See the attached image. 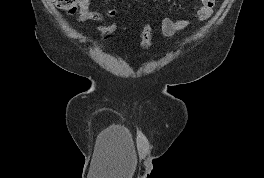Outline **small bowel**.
<instances>
[{
    "mask_svg": "<svg viewBox=\"0 0 264 178\" xmlns=\"http://www.w3.org/2000/svg\"><path fill=\"white\" fill-rule=\"evenodd\" d=\"M215 0H200L199 4L194 7V19L197 21H204L208 19L214 9ZM79 14L78 21L84 22H97L101 23L104 20L103 14L93 11L89 8V0H79ZM106 15L113 17L116 14L115 9H106ZM190 25V20L186 18L172 19L165 17L160 21V31L166 37H172L175 34L183 31Z\"/></svg>",
    "mask_w": 264,
    "mask_h": 178,
    "instance_id": "1",
    "label": "small bowel"
}]
</instances>
